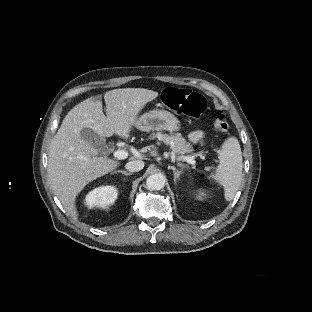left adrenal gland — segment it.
<instances>
[{
	"mask_svg": "<svg viewBox=\"0 0 312 312\" xmlns=\"http://www.w3.org/2000/svg\"><path fill=\"white\" fill-rule=\"evenodd\" d=\"M170 170H172L174 172V182L177 183L180 180V172L176 170L175 167L171 166L169 167Z\"/></svg>",
	"mask_w": 312,
	"mask_h": 312,
	"instance_id": "a2214340",
	"label": "left adrenal gland"
}]
</instances>
